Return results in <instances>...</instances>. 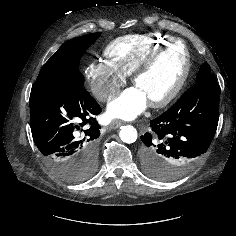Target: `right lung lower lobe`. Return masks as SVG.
Masks as SVG:
<instances>
[{
	"mask_svg": "<svg viewBox=\"0 0 236 236\" xmlns=\"http://www.w3.org/2000/svg\"><path fill=\"white\" fill-rule=\"evenodd\" d=\"M99 104L76 82L34 83L30 94L33 140L51 164L97 160Z\"/></svg>",
	"mask_w": 236,
	"mask_h": 236,
	"instance_id": "98d812e1",
	"label": "right lung lower lobe"
}]
</instances>
